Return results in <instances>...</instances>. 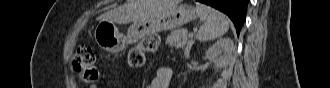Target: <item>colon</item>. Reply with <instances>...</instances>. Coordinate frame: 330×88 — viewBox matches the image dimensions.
Masks as SVG:
<instances>
[{
	"label": "colon",
	"instance_id": "5ec220e1",
	"mask_svg": "<svg viewBox=\"0 0 330 88\" xmlns=\"http://www.w3.org/2000/svg\"><path fill=\"white\" fill-rule=\"evenodd\" d=\"M159 46V37L155 34L145 36L136 47L128 53V65L132 70H139L145 62V54L153 53ZM72 67L78 74L80 80L86 84L94 85L99 77L95 66L93 50L88 45L78 47L73 59Z\"/></svg>",
	"mask_w": 330,
	"mask_h": 88
}]
</instances>
